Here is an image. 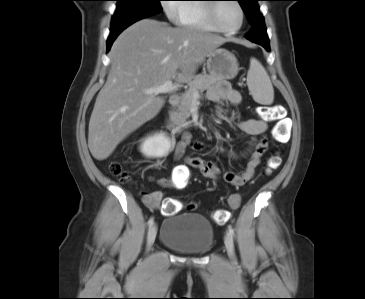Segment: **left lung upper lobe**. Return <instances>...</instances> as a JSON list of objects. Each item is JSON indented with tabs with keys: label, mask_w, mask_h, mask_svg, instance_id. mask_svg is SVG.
Here are the masks:
<instances>
[{
	"label": "left lung upper lobe",
	"mask_w": 365,
	"mask_h": 299,
	"mask_svg": "<svg viewBox=\"0 0 365 299\" xmlns=\"http://www.w3.org/2000/svg\"><path fill=\"white\" fill-rule=\"evenodd\" d=\"M244 10L249 23L254 27L264 23V18L260 13L257 1L259 0H237Z\"/></svg>",
	"instance_id": "left-lung-upper-lobe-1"
}]
</instances>
